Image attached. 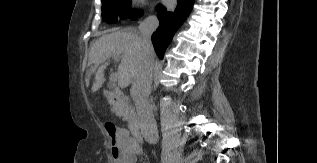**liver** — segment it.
<instances>
[{
    "label": "liver",
    "instance_id": "obj_1",
    "mask_svg": "<svg viewBox=\"0 0 317 163\" xmlns=\"http://www.w3.org/2000/svg\"><path fill=\"white\" fill-rule=\"evenodd\" d=\"M111 57L121 58L118 66V84L127 87L133 83L142 63L141 37L134 29H124L102 35L93 44L88 65L93 70V65H100L94 77L92 92H96L105 81L104 70Z\"/></svg>",
    "mask_w": 317,
    "mask_h": 163
}]
</instances>
